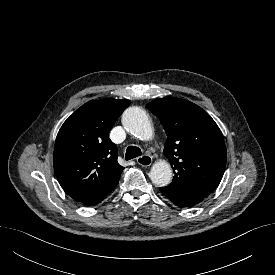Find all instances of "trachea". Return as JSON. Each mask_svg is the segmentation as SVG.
<instances>
[{
    "instance_id": "1",
    "label": "trachea",
    "mask_w": 275,
    "mask_h": 275,
    "mask_svg": "<svg viewBox=\"0 0 275 275\" xmlns=\"http://www.w3.org/2000/svg\"><path fill=\"white\" fill-rule=\"evenodd\" d=\"M142 152L141 149L137 146H129L126 150L125 159L131 160L133 158H136L138 156H141Z\"/></svg>"
}]
</instances>
